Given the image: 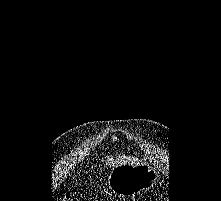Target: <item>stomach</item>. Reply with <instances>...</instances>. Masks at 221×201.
Wrapping results in <instances>:
<instances>
[{
  "mask_svg": "<svg viewBox=\"0 0 221 201\" xmlns=\"http://www.w3.org/2000/svg\"><path fill=\"white\" fill-rule=\"evenodd\" d=\"M159 172L148 163L130 162L112 168L109 189L119 196H131L154 186Z\"/></svg>",
  "mask_w": 221,
  "mask_h": 201,
  "instance_id": "stomach-1",
  "label": "stomach"
}]
</instances>
